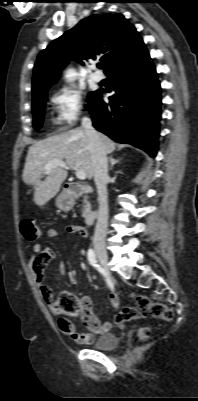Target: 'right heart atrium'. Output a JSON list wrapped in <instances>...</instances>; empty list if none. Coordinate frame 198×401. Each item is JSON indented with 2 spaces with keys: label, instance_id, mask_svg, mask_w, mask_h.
<instances>
[{
  "label": "right heart atrium",
  "instance_id": "1",
  "mask_svg": "<svg viewBox=\"0 0 198 401\" xmlns=\"http://www.w3.org/2000/svg\"><path fill=\"white\" fill-rule=\"evenodd\" d=\"M56 113V123L61 127H71L85 112V101L82 94L68 87L56 90L51 96Z\"/></svg>",
  "mask_w": 198,
  "mask_h": 401
}]
</instances>
